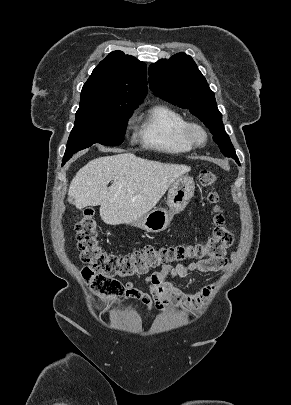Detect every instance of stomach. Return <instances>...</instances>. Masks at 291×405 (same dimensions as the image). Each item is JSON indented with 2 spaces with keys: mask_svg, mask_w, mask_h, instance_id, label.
<instances>
[{
  "mask_svg": "<svg viewBox=\"0 0 291 405\" xmlns=\"http://www.w3.org/2000/svg\"><path fill=\"white\" fill-rule=\"evenodd\" d=\"M195 184L191 177L181 176L170 186L167 196L168 208H154L131 222V226L147 232H161L167 228L175 214L180 213L194 196Z\"/></svg>",
  "mask_w": 291,
  "mask_h": 405,
  "instance_id": "stomach-1",
  "label": "stomach"
}]
</instances>
